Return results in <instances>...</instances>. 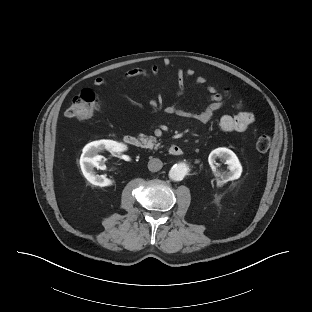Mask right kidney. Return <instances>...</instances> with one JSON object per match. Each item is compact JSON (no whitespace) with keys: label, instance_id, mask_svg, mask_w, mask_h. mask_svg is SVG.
Returning <instances> with one entry per match:
<instances>
[{"label":"right kidney","instance_id":"obj_1","mask_svg":"<svg viewBox=\"0 0 312 312\" xmlns=\"http://www.w3.org/2000/svg\"><path fill=\"white\" fill-rule=\"evenodd\" d=\"M125 144L113 140H99L87 144L83 148L80 157V166L84 177L93 185L105 187L113 184V181L105 175H97L94 168L105 169V158L98 153L107 150L112 154L126 150Z\"/></svg>","mask_w":312,"mask_h":312}]
</instances>
